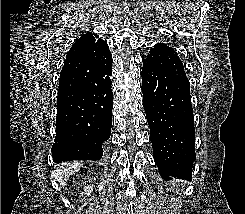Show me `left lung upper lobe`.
<instances>
[{
	"label": "left lung upper lobe",
	"instance_id": "obj_1",
	"mask_svg": "<svg viewBox=\"0 0 245 214\" xmlns=\"http://www.w3.org/2000/svg\"><path fill=\"white\" fill-rule=\"evenodd\" d=\"M143 62L145 66H151L164 72L186 76L183 63L174 49L163 43L156 44Z\"/></svg>",
	"mask_w": 245,
	"mask_h": 214
}]
</instances>
